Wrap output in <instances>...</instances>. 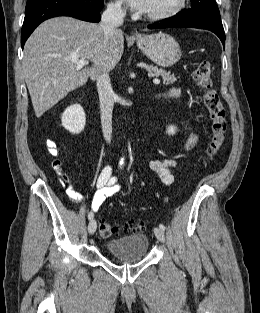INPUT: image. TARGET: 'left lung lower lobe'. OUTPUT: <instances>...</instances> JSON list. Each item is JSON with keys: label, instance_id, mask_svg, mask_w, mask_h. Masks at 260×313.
I'll return each instance as SVG.
<instances>
[{"label": "left lung lower lobe", "instance_id": "obj_1", "mask_svg": "<svg viewBox=\"0 0 260 313\" xmlns=\"http://www.w3.org/2000/svg\"><path fill=\"white\" fill-rule=\"evenodd\" d=\"M169 27H193V28H200V29H207L215 33L225 45V34L223 25L211 23V22H204V21H197L191 20L184 17L171 19H166L165 23L149 25V29H156V28H169Z\"/></svg>", "mask_w": 260, "mask_h": 313}]
</instances>
